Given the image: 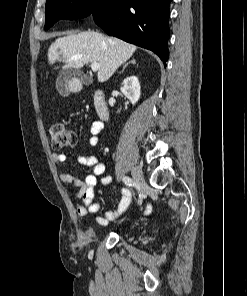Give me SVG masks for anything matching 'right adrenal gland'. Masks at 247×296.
<instances>
[{"label":"right adrenal gland","instance_id":"1","mask_svg":"<svg viewBox=\"0 0 247 296\" xmlns=\"http://www.w3.org/2000/svg\"><path fill=\"white\" fill-rule=\"evenodd\" d=\"M130 63L135 64L136 61H135L134 59H132V60L129 61L128 63L124 64L123 69H122V72L124 71V69H125Z\"/></svg>","mask_w":247,"mask_h":296}]
</instances>
